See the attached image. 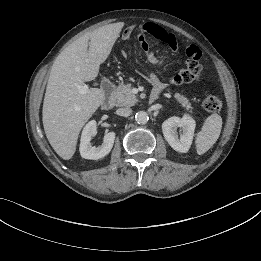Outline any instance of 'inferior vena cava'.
I'll list each match as a JSON object with an SVG mask.
<instances>
[{"label": "inferior vena cava", "mask_w": 261, "mask_h": 261, "mask_svg": "<svg viewBox=\"0 0 261 261\" xmlns=\"http://www.w3.org/2000/svg\"><path fill=\"white\" fill-rule=\"evenodd\" d=\"M116 113L120 116L128 117L132 113V109L130 107L119 108Z\"/></svg>", "instance_id": "inferior-vena-cava-1"}]
</instances>
